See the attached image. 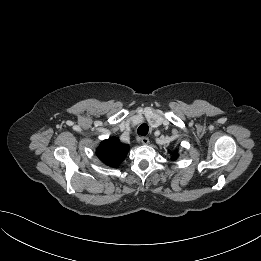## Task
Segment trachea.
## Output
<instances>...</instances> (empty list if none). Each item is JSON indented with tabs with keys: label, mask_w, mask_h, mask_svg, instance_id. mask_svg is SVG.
Masks as SVG:
<instances>
[{
	"label": "trachea",
	"mask_w": 261,
	"mask_h": 261,
	"mask_svg": "<svg viewBox=\"0 0 261 261\" xmlns=\"http://www.w3.org/2000/svg\"><path fill=\"white\" fill-rule=\"evenodd\" d=\"M149 127L146 123H143L139 126L137 132L139 135L146 136L148 134Z\"/></svg>",
	"instance_id": "3493384b"
}]
</instances>
